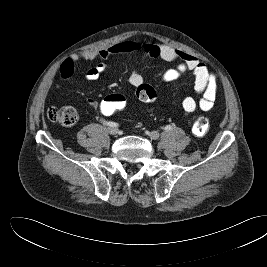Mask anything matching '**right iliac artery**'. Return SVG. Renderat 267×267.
Here are the masks:
<instances>
[{
    "mask_svg": "<svg viewBox=\"0 0 267 267\" xmlns=\"http://www.w3.org/2000/svg\"><path fill=\"white\" fill-rule=\"evenodd\" d=\"M103 123V125H106V126H110V127H117L118 126V124L117 123H115V122H107V121H103L102 122Z\"/></svg>",
    "mask_w": 267,
    "mask_h": 267,
    "instance_id": "1",
    "label": "right iliac artery"
}]
</instances>
